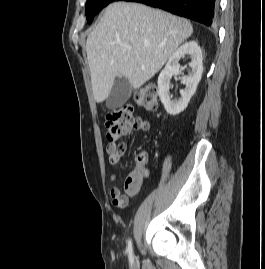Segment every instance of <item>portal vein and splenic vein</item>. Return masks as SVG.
<instances>
[{"mask_svg": "<svg viewBox=\"0 0 265 269\" xmlns=\"http://www.w3.org/2000/svg\"><path fill=\"white\" fill-rule=\"evenodd\" d=\"M127 47V49H129V50H131L132 49V47L131 46H126Z\"/></svg>", "mask_w": 265, "mask_h": 269, "instance_id": "obj_1", "label": "portal vein and splenic vein"}]
</instances>
